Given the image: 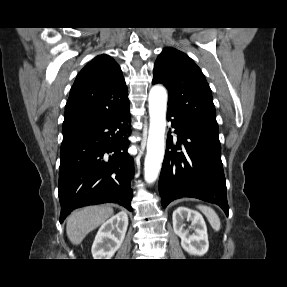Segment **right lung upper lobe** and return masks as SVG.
Instances as JSON below:
<instances>
[{
	"mask_svg": "<svg viewBox=\"0 0 287 287\" xmlns=\"http://www.w3.org/2000/svg\"><path fill=\"white\" fill-rule=\"evenodd\" d=\"M129 104L119 65L106 54L95 57L77 75L65 107L63 127L82 126Z\"/></svg>",
	"mask_w": 287,
	"mask_h": 287,
	"instance_id": "1",
	"label": "right lung upper lobe"
}]
</instances>
